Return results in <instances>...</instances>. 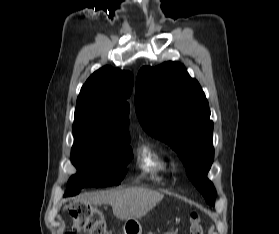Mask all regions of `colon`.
Listing matches in <instances>:
<instances>
[{"instance_id":"5ec220e1","label":"colon","mask_w":279,"mask_h":234,"mask_svg":"<svg viewBox=\"0 0 279 234\" xmlns=\"http://www.w3.org/2000/svg\"><path fill=\"white\" fill-rule=\"evenodd\" d=\"M73 230L68 234H112L107 220L100 210L79 206L72 211ZM190 234H203L200 219L196 213L190 216Z\"/></svg>"}]
</instances>
